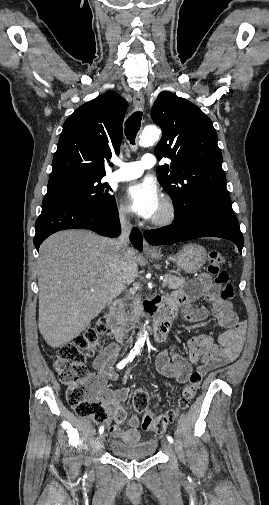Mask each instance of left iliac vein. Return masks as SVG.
<instances>
[{"instance_id":"4c4485c4","label":"left iliac vein","mask_w":269,"mask_h":505,"mask_svg":"<svg viewBox=\"0 0 269 505\" xmlns=\"http://www.w3.org/2000/svg\"><path fill=\"white\" fill-rule=\"evenodd\" d=\"M162 446H163L164 450L167 451L168 453L172 452V445L170 442L163 440Z\"/></svg>"}]
</instances>
